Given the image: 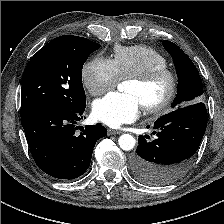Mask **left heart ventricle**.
I'll use <instances>...</instances> for the list:
<instances>
[{
	"label": "left heart ventricle",
	"instance_id": "1",
	"mask_svg": "<svg viewBox=\"0 0 224 224\" xmlns=\"http://www.w3.org/2000/svg\"><path fill=\"white\" fill-rule=\"evenodd\" d=\"M124 90L127 93L136 95L143 106L147 103L155 102L164 96L167 90V79L164 77L159 78L148 85L128 81L124 86Z\"/></svg>",
	"mask_w": 224,
	"mask_h": 224
}]
</instances>
